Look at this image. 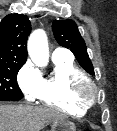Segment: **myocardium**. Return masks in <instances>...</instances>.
<instances>
[{
  "mask_svg": "<svg viewBox=\"0 0 117 131\" xmlns=\"http://www.w3.org/2000/svg\"><path fill=\"white\" fill-rule=\"evenodd\" d=\"M75 92L79 97L92 104L99 98V89L96 83L86 76L80 79L75 85Z\"/></svg>",
  "mask_w": 117,
  "mask_h": 131,
  "instance_id": "obj_1",
  "label": "myocardium"
}]
</instances>
